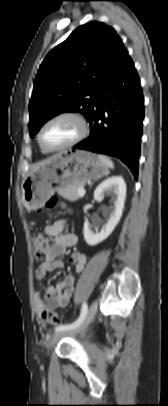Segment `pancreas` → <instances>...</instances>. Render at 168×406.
<instances>
[{
  "mask_svg": "<svg viewBox=\"0 0 168 406\" xmlns=\"http://www.w3.org/2000/svg\"><path fill=\"white\" fill-rule=\"evenodd\" d=\"M84 185L83 184H77V185H73L64 189H61L58 191V193L65 199L69 200V201H76L78 200V198L80 197L78 195V190L83 188Z\"/></svg>",
  "mask_w": 168,
  "mask_h": 406,
  "instance_id": "1",
  "label": "pancreas"
}]
</instances>
